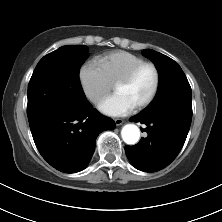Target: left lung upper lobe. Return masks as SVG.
Here are the masks:
<instances>
[{
  "label": "left lung upper lobe",
  "mask_w": 222,
  "mask_h": 222,
  "mask_svg": "<svg viewBox=\"0 0 222 222\" xmlns=\"http://www.w3.org/2000/svg\"><path fill=\"white\" fill-rule=\"evenodd\" d=\"M143 55L155 64L159 72L158 92L149 106L170 98L191 100L190 84L173 59L151 49L143 50Z\"/></svg>",
  "instance_id": "obj_1"
}]
</instances>
